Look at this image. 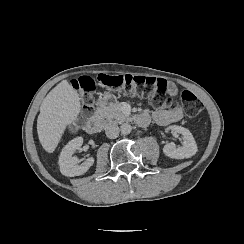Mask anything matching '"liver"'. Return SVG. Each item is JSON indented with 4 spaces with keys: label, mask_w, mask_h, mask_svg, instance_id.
Wrapping results in <instances>:
<instances>
[{
    "label": "liver",
    "mask_w": 244,
    "mask_h": 244,
    "mask_svg": "<svg viewBox=\"0 0 244 244\" xmlns=\"http://www.w3.org/2000/svg\"><path fill=\"white\" fill-rule=\"evenodd\" d=\"M80 109L79 94L66 80L47 94L37 119L38 137L45 151L55 150L66 126L75 120Z\"/></svg>",
    "instance_id": "1"
}]
</instances>
